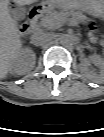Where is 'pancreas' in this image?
Wrapping results in <instances>:
<instances>
[{
    "label": "pancreas",
    "mask_w": 104,
    "mask_h": 137,
    "mask_svg": "<svg viewBox=\"0 0 104 137\" xmlns=\"http://www.w3.org/2000/svg\"><path fill=\"white\" fill-rule=\"evenodd\" d=\"M72 15V18L75 21H83L86 17L80 12H60V13H50L47 14L41 20V25L47 29H56L61 27L63 24L69 21V16Z\"/></svg>",
    "instance_id": "obj_1"
}]
</instances>
